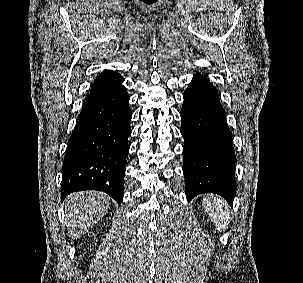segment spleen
<instances>
[{"instance_id": "3e777b00", "label": "spleen", "mask_w": 303, "mask_h": 283, "mask_svg": "<svg viewBox=\"0 0 303 283\" xmlns=\"http://www.w3.org/2000/svg\"><path fill=\"white\" fill-rule=\"evenodd\" d=\"M202 206L215 227L220 232H224L230 222L229 206L226 204V201L218 195L211 194L203 199Z\"/></svg>"}]
</instances>
